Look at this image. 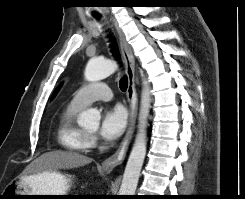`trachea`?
I'll return each mask as SVG.
<instances>
[{
	"mask_svg": "<svg viewBox=\"0 0 245 199\" xmlns=\"http://www.w3.org/2000/svg\"><path fill=\"white\" fill-rule=\"evenodd\" d=\"M111 46L113 47L112 51L114 52V55L117 56L118 55V52H117V48L114 47L115 44H112ZM119 87H120L121 91H123V92L126 91V89L128 87V78H127V76H123L120 79V81H119Z\"/></svg>",
	"mask_w": 245,
	"mask_h": 199,
	"instance_id": "obj_1",
	"label": "trachea"
}]
</instances>
